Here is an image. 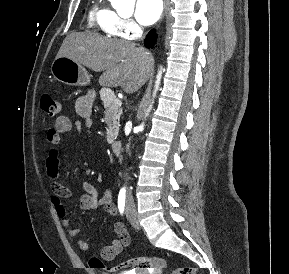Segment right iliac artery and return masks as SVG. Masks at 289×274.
I'll return each mask as SVG.
<instances>
[{
    "label": "right iliac artery",
    "instance_id": "right-iliac-artery-1",
    "mask_svg": "<svg viewBox=\"0 0 289 274\" xmlns=\"http://www.w3.org/2000/svg\"><path fill=\"white\" fill-rule=\"evenodd\" d=\"M125 197V189H121L118 195V209L121 214H123L125 208Z\"/></svg>",
    "mask_w": 289,
    "mask_h": 274
}]
</instances>
